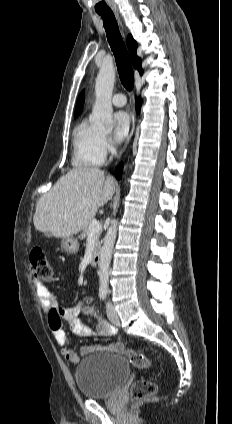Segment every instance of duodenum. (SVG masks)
I'll return each instance as SVG.
<instances>
[{
	"label": "duodenum",
	"instance_id": "1",
	"mask_svg": "<svg viewBox=\"0 0 232 424\" xmlns=\"http://www.w3.org/2000/svg\"><path fill=\"white\" fill-rule=\"evenodd\" d=\"M100 256H101L100 249H98V248L94 249V251L92 252V255H91V259H90V266L91 267H95L99 264Z\"/></svg>",
	"mask_w": 232,
	"mask_h": 424
}]
</instances>
